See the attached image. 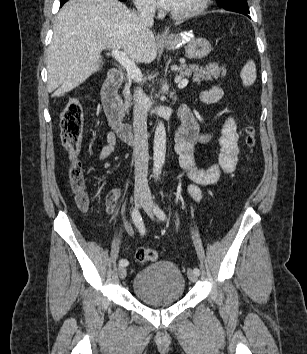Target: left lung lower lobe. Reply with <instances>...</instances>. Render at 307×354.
I'll list each match as a JSON object with an SVG mask.
<instances>
[{"label":"left lung lower lobe","mask_w":307,"mask_h":354,"mask_svg":"<svg viewBox=\"0 0 307 354\" xmlns=\"http://www.w3.org/2000/svg\"><path fill=\"white\" fill-rule=\"evenodd\" d=\"M236 12V11H235ZM238 13H241V14H244V15H246V16H248V13H246V12H238ZM249 17V16H248Z\"/></svg>","instance_id":"1"}]
</instances>
